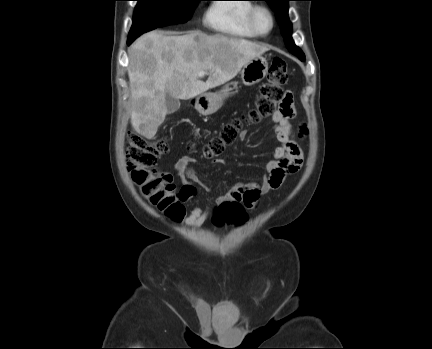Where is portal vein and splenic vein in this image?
<instances>
[{"label": "portal vein and splenic vein", "mask_w": 432, "mask_h": 349, "mask_svg": "<svg viewBox=\"0 0 432 349\" xmlns=\"http://www.w3.org/2000/svg\"><path fill=\"white\" fill-rule=\"evenodd\" d=\"M205 74H206L205 72L201 71V72L198 73V76L199 77H203Z\"/></svg>", "instance_id": "portal-vein-and-splenic-vein-1"}]
</instances>
